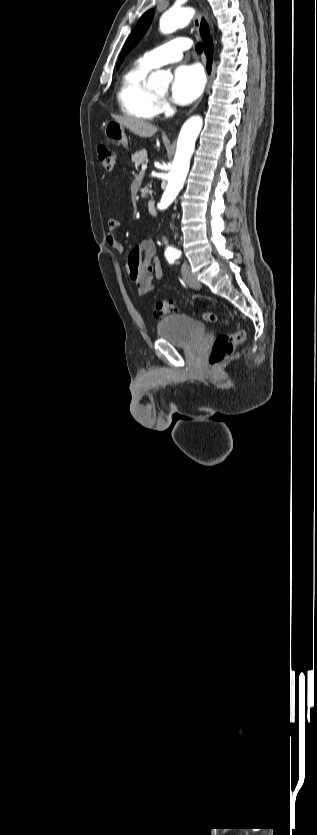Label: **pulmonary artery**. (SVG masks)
Returning <instances> with one entry per match:
<instances>
[{
  "label": "pulmonary artery",
  "instance_id": "pulmonary-artery-1",
  "mask_svg": "<svg viewBox=\"0 0 317 835\" xmlns=\"http://www.w3.org/2000/svg\"><path fill=\"white\" fill-rule=\"evenodd\" d=\"M190 47L191 42L188 38L178 37L146 52L141 59L147 65L154 68L180 60L183 52Z\"/></svg>",
  "mask_w": 317,
  "mask_h": 835
}]
</instances>
